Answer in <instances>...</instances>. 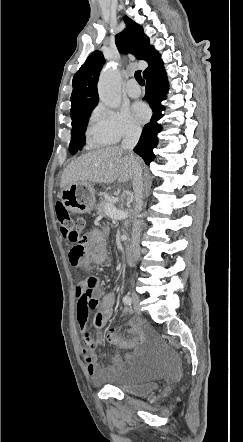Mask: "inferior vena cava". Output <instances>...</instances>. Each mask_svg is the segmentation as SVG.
Here are the masks:
<instances>
[{"instance_id": "602c4592", "label": "inferior vena cava", "mask_w": 243, "mask_h": 442, "mask_svg": "<svg viewBox=\"0 0 243 442\" xmlns=\"http://www.w3.org/2000/svg\"><path fill=\"white\" fill-rule=\"evenodd\" d=\"M141 135V128L137 126H130L123 141H122V149L129 152L131 158L134 161V171H133V188L135 192V196L138 199L139 207L141 208L143 201V177H142V169L140 163L133 155V149L136 146ZM141 220H136L134 223L133 233H132V241H131V249L132 256L134 260H136L140 255V235H141Z\"/></svg>"}]
</instances>
